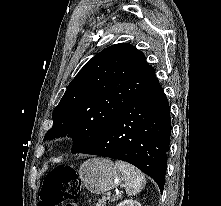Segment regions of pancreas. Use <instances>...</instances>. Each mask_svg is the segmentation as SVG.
<instances>
[{"mask_svg": "<svg viewBox=\"0 0 221 206\" xmlns=\"http://www.w3.org/2000/svg\"><path fill=\"white\" fill-rule=\"evenodd\" d=\"M109 200H110L109 197H107L106 195H103L102 198H99L97 200V203L95 206H105L107 201H109Z\"/></svg>", "mask_w": 221, "mask_h": 206, "instance_id": "pancreas-1", "label": "pancreas"}]
</instances>
